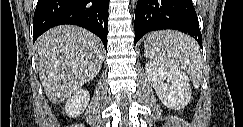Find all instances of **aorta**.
Instances as JSON below:
<instances>
[{"instance_id":"762f6f07","label":"aorta","mask_w":243,"mask_h":127,"mask_svg":"<svg viewBox=\"0 0 243 127\" xmlns=\"http://www.w3.org/2000/svg\"><path fill=\"white\" fill-rule=\"evenodd\" d=\"M137 3V0H132V4H136Z\"/></svg>"}]
</instances>
